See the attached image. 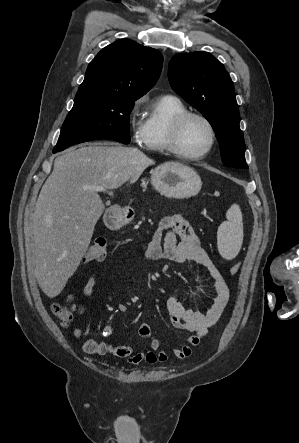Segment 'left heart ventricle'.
Returning <instances> with one entry per match:
<instances>
[{"instance_id":"1","label":"left heart ventricle","mask_w":299,"mask_h":443,"mask_svg":"<svg viewBox=\"0 0 299 443\" xmlns=\"http://www.w3.org/2000/svg\"><path fill=\"white\" fill-rule=\"evenodd\" d=\"M210 133L207 125L200 119L189 118L181 131L180 147L191 155L202 153L209 145Z\"/></svg>"}]
</instances>
